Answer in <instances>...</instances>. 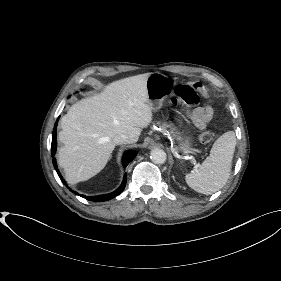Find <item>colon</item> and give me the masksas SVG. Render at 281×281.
<instances>
[{
	"label": "colon",
	"instance_id": "obj_1",
	"mask_svg": "<svg viewBox=\"0 0 281 281\" xmlns=\"http://www.w3.org/2000/svg\"><path fill=\"white\" fill-rule=\"evenodd\" d=\"M176 102H183L186 104H198L203 101L207 104L210 103V98L207 89L199 82H194L189 85H181L176 91ZM214 138L211 131H205L200 136L202 143H210Z\"/></svg>",
	"mask_w": 281,
	"mask_h": 281
}]
</instances>
